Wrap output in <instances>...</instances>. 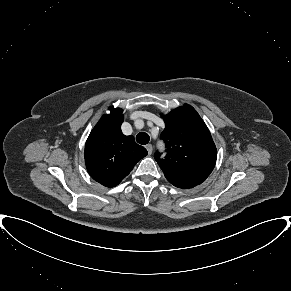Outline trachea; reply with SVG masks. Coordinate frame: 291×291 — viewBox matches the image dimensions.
I'll return each instance as SVG.
<instances>
[{"label":"trachea","mask_w":291,"mask_h":291,"mask_svg":"<svg viewBox=\"0 0 291 291\" xmlns=\"http://www.w3.org/2000/svg\"><path fill=\"white\" fill-rule=\"evenodd\" d=\"M150 140V137L147 133L145 132H141L139 133L137 136H136V141L139 143V144H142V145H145L149 142Z\"/></svg>","instance_id":"obj_1"}]
</instances>
